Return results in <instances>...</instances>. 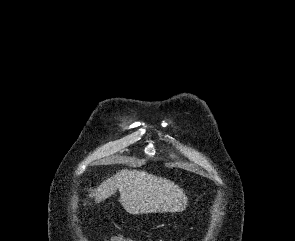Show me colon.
Here are the masks:
<instances>
[{
	"instance_id": "5ec220e1",
	"label": "colon",
	"mask_w": 295,
	"mask_h": 241,
	"mask_svg": "<svg viewBox=\"0 0 295 241\" xmlns=\"http://www.w3.org/2000/svg\"><path fill=\"white\" fill-rule=\"evenodd\" d=\"M121 238L122 237L116 236V237L111 238V241H119V240H121Z\"/></svg>"
}]
</instances>
